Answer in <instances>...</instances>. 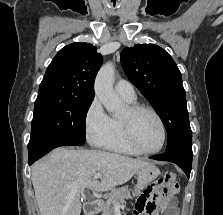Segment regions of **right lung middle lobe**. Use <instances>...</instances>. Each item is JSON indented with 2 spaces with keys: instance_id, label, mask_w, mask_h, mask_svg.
Masks as SVG:
<instances>
[{
  "instance_id": "dd1d6c3e",
  "label": "right lung middle lobe",
  "mask_w": 223,
  "mask_h": 215,
  "mask_svg": "<svg viewBox=\"0 0 223 215\" xmlns=\"http://www.w3.org/2000/svg\"><path fill=\"white\" fill-rule=\"evenodd\" d=\"M92 101L37 97L28 150L61 141H86V115Z\"/></svg>"
}]
</instances>
